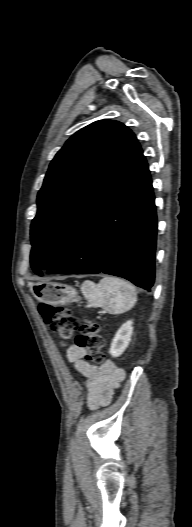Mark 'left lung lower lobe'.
<instances>
[{"label":"left lung lower lobe","mask_w":192,"mask_h":527,"mask_svg":"<svg viewBox=\"0 0 192 527\" xmlns=\"http://www.w3.org/2000/svg\"><path fill=\"white\" fill-rule=\"evenodd\" d=\"M156 234L152 182L142 155L92 211L48 273L104 272L150 291Z\"/></svg>","instance_id":"1"}]
</instances>
